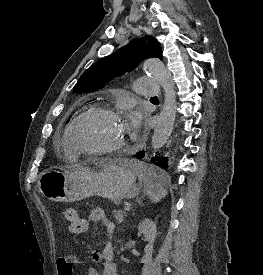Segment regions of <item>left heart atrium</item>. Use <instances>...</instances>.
I'll use <instances>...</instances> for the list:
<instances>
[{
    "instance_id": "1",
    "label": "left heart atrium",
    "mask_w": 263,
    "mask_h": 275,
    "mask_svg": "<svg viewBox=\"0 0 263 275\" xmlns=\"http://www.w3.org/2000/svg\"><path fill=\"white\" fill-rule=\"evenodd\" d=\"M132 124H133L134 127L137 126V118L136 117L132 118Z\"/></svg>"
}]
</instances>
